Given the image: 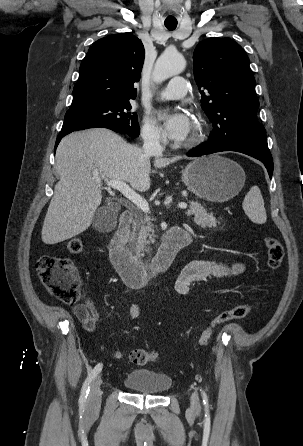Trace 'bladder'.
I'll return each instance as SVG.
<instances>
[{
    "label": "bladder",
    "mask_w": 303,
    "mask_h": 446,
    "mask_svg": "<svg viewBox=\"0 0 303 446\" xmlns=\"http://www.w3.org/2000/svg\"><path fill=\"white\" fill-rule=\"evenodd\" d=\"M123 383L127 389L146 394H163L172 387L168 374L143 368L130 371Z\"/></svg>",
    "instance_id": "obj_1"
}]
</instances>
